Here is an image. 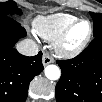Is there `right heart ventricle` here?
Returning a JSON list of instances; mask_svg holds the SVG:
<instances>
[{
    "label": "right heart ventricle",
    "mask_w": 102,
    "mask_h": 102,
    "mask_svg": "<svg viewBox=\"0 0 102 102\" xmlns=\"http://www.w3.org/2000/svg\"><path fill=\"white\" fill-rule=\"evenodd\" d=\"M77 18L67 13H55L37 17L34 21V31L43 39L55 40L65 29L73 24Z\"/></svg>",
    "instance_id": "obj_1"
}]
</instances>
